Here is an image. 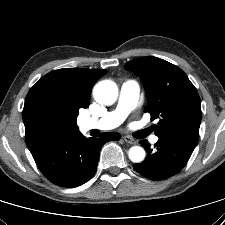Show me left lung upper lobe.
<instances>
[{"label":"left lung upper lobe","instance_id":"left-lung-upper-lobe-1","mask_svg":"<svg viewBox=\"0 0 225 225\" xmlns=\"http://www.w3.org/2000/svg\"><path fill=\"white\" fill-rule=\"evenodd\" d=\"M142 80L148 105L144 111L159 118L155 135L195 148L201 123V101L194 85L177 66L157 57L125 65Z\"/></svg>","mask_w":225,"mask_h":225}]
</instances>
